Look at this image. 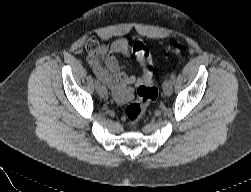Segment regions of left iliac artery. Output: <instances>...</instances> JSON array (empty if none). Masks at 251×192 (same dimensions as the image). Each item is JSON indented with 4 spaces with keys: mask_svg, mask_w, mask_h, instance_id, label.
Listing matches in <instances>:
<instances>
[{
    "mask_svg": "<svg viewBox=\"0 0 251 192\" xmlns=\"http://www.w3.org/2000/svg\"><path fill=\"white\" fill-rule=\"evenodd\" d=\"M175 78H176V73H172L170 76V80L172 81V83H174Z\"/></svg>",
    "mask_w": 251,
    "mask_h": 192,
    "instance_id": "1",
    "label": "left iliac artery"
}]
</instances>
